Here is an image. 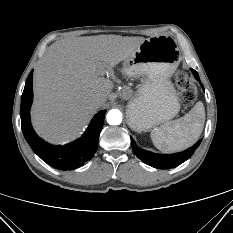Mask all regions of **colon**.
Here are the masks:
<instances>
[{"label": "colon", "mask_w": 233, "mask_h": 233, "mask_svg": "<svg viewBox=\"0 0 233 233\" xmlns=\"http://www.w3.org/2000/svg\"><path fill=\"white\" fill-rule=\"evenodd\" d=\"M175 82L182 104L184 106H190L196 99V90L194 86L190 84L187 73L178 71L175 74Z\"/></svg>", "instance_id": "1"}]
</instances>
